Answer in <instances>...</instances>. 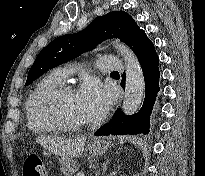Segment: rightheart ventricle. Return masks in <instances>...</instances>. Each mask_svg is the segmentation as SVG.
I'll list each match as a JSON object with an SVG mask.
<instances>
[{
	"label": "right heart ventricle",
	"mask_w": 205,
	"mask_h": 176,
	"mask_svg": "<svg viewBox=\"0 0 205 176\" xmlns=\"http://www.w3.org/2000/svg\"><path fill=\"white\" fill-rule=\"evenodd\" d=\"M62 79L55 73L41 79L29 93L25 102L26 122L29 131L44 134L54 131L53 125L43 120L38 113L41 98L54 87L61 85Z\"/></svg>",
	"instance_id": "1"
}]
</instances>
